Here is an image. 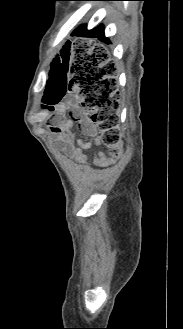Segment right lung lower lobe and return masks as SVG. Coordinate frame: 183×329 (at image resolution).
Here are the masks:
<instances>
[{
	"label": "right lung lower lobe",
	"instance_id": "98d812e1",
	"mask_svg": "<svg viewBox=\"0 0 183 329\" xmlns=\"http://www.w3.org/2000/svg\"><path fill=\"white\" fill-rule=\"evenodd\" d=\"M75 35H81V36H86V37H97L99 40L104 41L106 43H109L108 38L105 37L104 32H103V25L98 26L95 29L92 30H87L86 26L82 25L78 29L75 30L74 32ZM84 67L88 68L90 72H95L96 68L98 67L97 64H95V60L91 61H85L83 63Z\"/></svg>",
	"mask_w": 183,
	"mask_h": 329
}]
</instances>
